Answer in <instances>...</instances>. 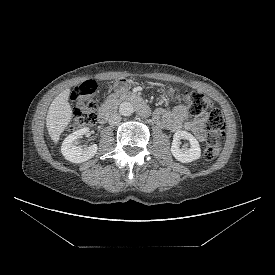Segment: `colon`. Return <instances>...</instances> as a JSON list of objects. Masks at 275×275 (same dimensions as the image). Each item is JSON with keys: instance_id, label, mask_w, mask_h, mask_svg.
I'll list each match as a JSON object with an SVG mask.
<instances>
[{"instance_id": "1", "label": "colon", "mask_w": 275, "mask_h": 275, "mask_svg": "<svg viewBox=\"0 0 275 275\" xmlns=\"http://www.w3.org/2000/svg\"><path fill=\"white\" fill-rule=\"evenodd\" d=\"M97 85L94 81L88 80L76 87L71 93V100L74 103V116L71 122V129L82 128L92 125L96 119L97 104L95 101ZM175 91H167V100L172 102ZM186 108L192 115H198L209 111L206 122L207 138L204 148V158L212 160L218 156L222 138L225 133V121L222 112L213 107L211 100L200 91H186L182 96Z\"/></svg>"}]
</instances>
